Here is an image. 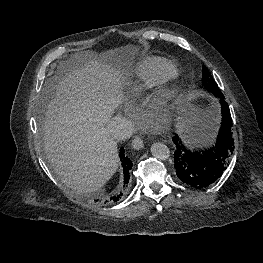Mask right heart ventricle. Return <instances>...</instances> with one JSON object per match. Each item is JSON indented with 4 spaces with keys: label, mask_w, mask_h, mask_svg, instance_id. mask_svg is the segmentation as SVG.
I'll list each match as a JSON object with an SVG mask.
<instances>
[{
    "label": "right heart ventricle",
    "mask_w": 263,
    "mask_h": 263,
    "mask_svg": "<svg viewBox=\"0 0 263 263\" xmlns=\"http://www.w3.org/2000/svg\"><path fill=\"white\" fill-rule=\"evenodd\" d=\"M174 75L175 71L172 67H167V69H164L159 66H151L142 68L139 71V78L142 86L144 87L151 86L162 79L171 78Z\"/></svg>",
    "instance_id": "e07e8e85"
}]
</instances>
